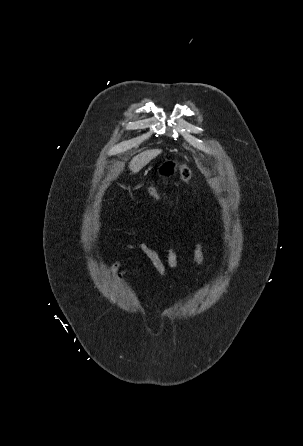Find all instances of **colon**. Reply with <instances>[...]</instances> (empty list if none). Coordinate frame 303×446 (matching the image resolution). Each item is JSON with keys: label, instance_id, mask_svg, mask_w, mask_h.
<instances>
[{"label": "colon", "instance_id": "1", "mask_svg": "<svg viewBox=\"0 0 303 446\" xmlns=\"http://www.w3.org/2000/svg\"><path fill=\"white\" fill-rule=\"evenodd\" d=\"M178 173H179L180 177L185 182H191L193 176H192V172L189 168H187L185 166H181V167H179ZM162 192H163V189H162L161 185L159 183H156L152 186L149 194L151 197L156 198V197H159Z\"/></svg>", "mask_w": 303, "mask_h": 446}]
</instances>
